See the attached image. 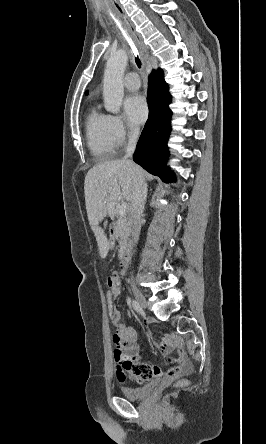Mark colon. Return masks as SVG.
I'll list each match as a JSON object with an SVG mask.
<instances>
[{
  "label": "colon",
  "mask_w": 266,
  "mask_h": 444,
  "mask_svg": "<svg viewBox=\"0 0 266 444\" xmlns=\"http://www.w3.org/2000/svg\"><path fill=\"white\" fill-rule=\"evenodd\" d=\"M117 286L114 285L110 288V292L108 293L106 297V304H107V311L110 315V317L115 316L117 312H119L115 305V297L117 296ZM187 384V381L181 380L178 385L179 386H185Z\"/></svg>",
  "instance_id": "obj_1"
}]
</instances>
